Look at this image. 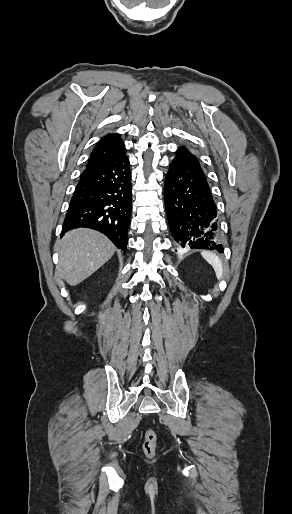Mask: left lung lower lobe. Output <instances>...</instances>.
I'll use <instances>...</instances> for the list:
<instances>
[{
  "mask_svg": "<svg viewBox=\"0 0 292 514\" xmlns=\"http://www.w3.org/2000/svg\"><path fill=\"white\" fill-rule=\"evenodd\" d=\"M165 208L169 227L179 248L223 252L218 215L199 159L180 147L165 177Z\"/></svg>",
  "mask_w": 292,
  "mask_h": 514,
  "instance_id": "obj_1",
  "label": "left lung lower lobe"
}]
</instances>
